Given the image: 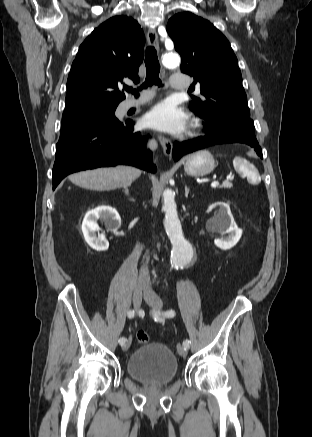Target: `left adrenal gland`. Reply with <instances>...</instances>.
Returning a JSON list of instances; mask_svg holds the SVG:
<instances>
[{"label": "left adrenal gland", "mask_w": 312, "mask_h": 437, "mask_svg": "<svg viewBox=\"0 0 312 437\" xmlns=\"http://www.w3.org/2000/svg\"><path fill=\"white\" fill-rule=\"evenodd\" d=\"M189 194V188L185 185V197L187 198Z\"/></svg>", "instance_id": "left-adrenal-gland-1"}]
</instances>
